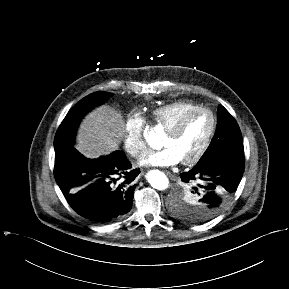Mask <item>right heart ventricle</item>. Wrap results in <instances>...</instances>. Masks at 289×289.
I'll use <instances>...</instances> for the list:
<instances>
[{
    "label": "right heart ventricle",
    "instance_id": "right-heart-ventricle-1",
    "mask_svg": "<svg viewBox=\"0 0 289 289\" xmlns=\"http://www.w3.org/2000/svg\"><path fill=\"white\" fill-rule=\"evenodd\" d=\"M199 106L189 101H174L152 110L151 116L155 123L165 131L169 129L184 113Z\"/></svg>",
    "mask_w": 289,
    "mask_h": 289
}]
</instances>
